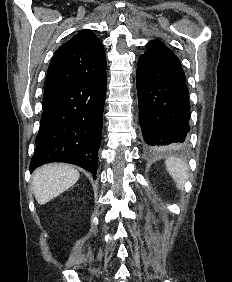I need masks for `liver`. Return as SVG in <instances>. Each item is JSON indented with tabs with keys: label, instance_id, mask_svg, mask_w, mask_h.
<instances>
[{
	"label": "liver",
	"instance_id": "6515ba94",
	"mask_svg": "<svg viewBox=\"0 0 232 282\" xmlns=\"http://www.w3.org/2000/svg\"><path fill=\"white\" fill-rule=\"evenodd\" d=\"M79 172L71 165L48 164L33 173L32 190L36 201L44 205L57 197L79 179Z\"/></svg>",
	"mask_w": 232,
	"mask_h": 282
}]
</instances>
